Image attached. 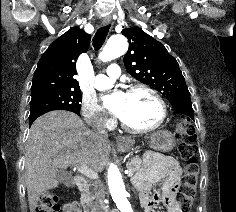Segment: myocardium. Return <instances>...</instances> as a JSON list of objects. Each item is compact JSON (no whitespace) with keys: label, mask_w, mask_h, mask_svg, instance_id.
<instances>
[{"label":"myocardium","mask_w":236,"mask_h":212,"mask_svg":"<svg viewBox=\"0 0 236 212\" xmlns=\"http://www.w3.org/2000/svg\"><path fill=\"white\" fill-rule=\"evenodd\" d=\"M138 90H142L145 91L149 94H151L156 101L158 102L159 106H160V116L158 118V120L151 126L146 127V128H133L131 126H129L121 117H119V122L121 127L132 134H145V133H149L152 132L156 129H158L162 123L165 121L166 117H167V105L165 100L163 99V97L160 95V93L155 90L154 88L143 84V83H137V84H132L131 86H129V88L127 89V94L132 93L134 91H138Z\"/></svg>","instance_id":"obj_1"}]
</instances>
